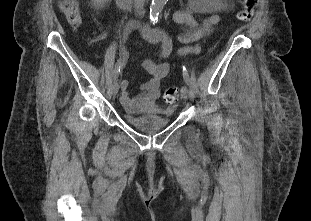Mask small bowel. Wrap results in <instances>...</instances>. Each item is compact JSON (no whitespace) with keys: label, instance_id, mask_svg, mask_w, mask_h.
<instances>
[{"label":"small bowel","instance_id":"small-bowel-1","mask_svg":"<svg viewBox=\"0 0 311 221\" xmlns=\"http://www.w3.org/2000/svg\"><path fill=\"white\" fill-rule=\"evenodd\" d=\"M172 20L175 23L184 25L187 29L179 38L184 46L178 50H174L171 38L165 33L150 28L142 30L145 41L158 46L157 57L159 61L145 60L143 62V68L149 73L151 78L149 81L141 84V93L139 95L131 97L128 92L129 81H121V100L131 110H136L139 105H152L156 102L161 94L162 81L170 71V64L164 60L174 56L199 53L200 47L198 42L218 24L220 18L217 15H210L203 20H197L190 9H182L173 14ZM127 32L128 30H125L123 34V41ZM122 57L123 59L126 57V52L123 48Z\"/></svg>","mask_w":311,"mask_h":221}]
</instances>
